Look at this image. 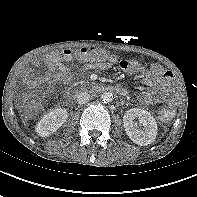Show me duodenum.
Here are the masks:
<instances>
[{"label": "duodenum", "instance_id": "1", "mask_svg": "<svg viewBox=\"0 0 197 197\" xmlns=\"http://www.w3.org/2000/svg\"><path fill=\"white\" fill-rule=\"evenodd\" d=\"M101 90H111L119 95H124L126 93V91L123 88L116 87V86H106V87L101 88Z\"/></svg>", "mask_w": 197, "mask_h": 197}]
</instances>
